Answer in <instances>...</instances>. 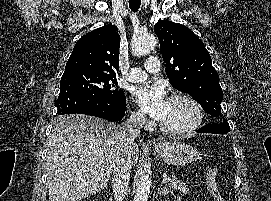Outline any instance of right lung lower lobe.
<instances>
[{
	"label": "right lung lower lobe",
	"instance_id": "98d812e1",
	"mask_svg": "<svg viewBox=\"0 0 271 201\" xmlns=\"http://www.w3.org/2000/svg\"><path fill=\"white\" fill-rule=\"evenodd\" d=\"M55 107H57L59 115L78 113L117 121L125 115L126 98L123 93L113 97L81 93L59 94Z\"/></svg>",
	"mask_w": 271,
	"mask_h": 201
}]
</instances>
